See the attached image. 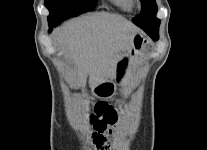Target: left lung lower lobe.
I'll list each match as a JSON object with an SVG mask.
<instances>
[{
    "label": "left lung lower lobe",
    "mask_w": 207,
    "mask_h": 150,
    "mask_svg": "<svg viewBox=\"0 0 207 150\" xmlns=\"http://www.w3.org/2000/svg\"><path fill=\"white\" fill-rule=\"evenodd\" d=\"M154 40L158 39V33H150L149 34Z\"/></svg>",
    "instance_id": "1"
}]
</instances>
